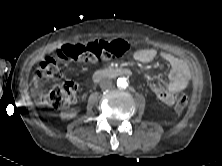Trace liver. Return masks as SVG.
I'll return each instance as SVG.
<instances>
[{"mask_svg":"<svg viewBox=\"0 0 222 166\" xmlns=\"http://www.w3.org/2000/svg\"><path fill=\"white\" fill-rule=\"evenodd\" d=\"M35 79V87L38 88V80L36 78Z\"/></svg>","mask_w":222,"mask_h":166,"instance_id":"liver-1","label":"liver"}]
</instances>
